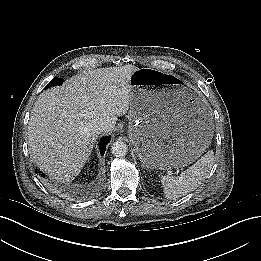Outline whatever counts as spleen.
Here are the masks:
<instances>
[{"label": "spleen", "mask_w": 261, "mask_h": 261, "mask_svg": "<svg viewBox=\"0 0 261 261\" xmlns=\"http://www.w3.org/2000/svg\"><path fill=\"white\" fill-rule=\"evenodd\" d=\"M213 164V151H208L179 176H162L161 184L165 197L167 199H178L194 191L207 177Z\"/></svg>", "instance_id": "obj_1"}]
</instances>
